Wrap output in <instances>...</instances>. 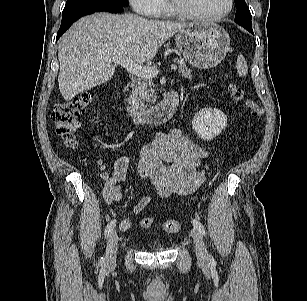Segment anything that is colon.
Wrapping results in <instances>:
<instances>
[{
    "mask_svg": "<svg viewBox=\"0 0 307 301\" xmlns=\"http://www.w3.org/2000/svg\"><path fill=\"white\" fill-rule=\"evenodd\" d=\"M232 97L237 101L244 102L251 111L253 118L258 119L262 115V110L251 98H247L242 87L237 84L230 85ZM92 96L89 92H83L70 101L57 104L52 112V121L59 136L66 146L74 148L76 146V132L79 127L78 118L89 107ZM154 224L152 217H144L141 220L142 228H150ZM162 229L169 233H177L181 230V223L176 219H168L162 223Z\"/></svg>",
    "mask_w": 307,
    "mask_h": 301,
    "instance_id": "1",
    "label": "colon"
}]
</instances>
